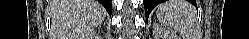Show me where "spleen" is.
Wrapping results in <instances>:
<instances>
[{"instance_id":"spleen-1","label":"spleen","mask_w":249,"mask_h":39,"mask_svg":"<svg viewBox=\"0 0 249 39\" xmlns=\"http://www.w3.org/2000/svg\"><path fill=\"white\" fill-rule=\"evenodd\" d=\"M156 15L159 21L168 28L176 31L184 28L187 33L194 34L192 26L196 19L191 6L177 7L175 1H166L157 6Z\"/></svg>"}]
</instances>
